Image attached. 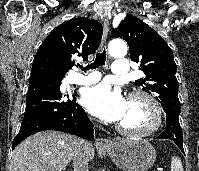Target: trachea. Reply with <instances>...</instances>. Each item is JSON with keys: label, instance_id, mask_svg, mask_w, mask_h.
<instances>
[{"label": "trachea", "instance_id": "1", "mask_svg": "<svg viewBox=\"0 0 199 171\" xmlns=\"http://www.w3.org/2000/svg\"><path fill=\"white\" fill-rule=\"evenodd\" d=\"M105 61H106V52L104 49L102 52H97L95 61L93 63H91L90 65H87L86 67L80 66V68L84 72H86L87 70L96 69L100 66L105 65Z\"/></svg>", "mask_w": 199, "mask_h": 171}]
</instances>
